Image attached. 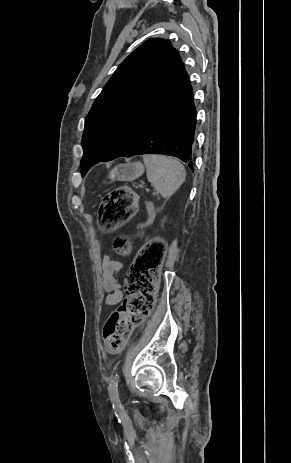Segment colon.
<instances>
[{
  "label": "colon",
  "mask_w": 291,
  "mask_h": 463,
  "mask_svg": "<svg viewBox=\"0 0 291 463\" xmlns=\"http://www.w3.org/2000/svg\"><path fill=\"white\" fill-rule=\"evenodd\" d=\"M138 202V195L129 187L121 186L111 190L103 198L98 210L99 227L110 230L126 223L134 214ZM114 247L120 254L128 251L127 242L122 237L115 240ZM165 251V243L157 238L139 250L125 277L126 297L104 325L103 340L108 351H120L132 328L150 315Z\"/></svg>",
  "instance_id": "colon-1"
}]
</instances>
